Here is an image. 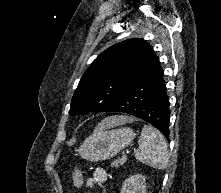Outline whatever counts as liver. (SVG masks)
<instances>
[{"label": "liver", "mask_w": 221, "mask_h": 193, "mask_svg": "<svg viewBox=\"0 0 221 193\" xmlns=\"http://www.w3.org/2000/svg\"><path fill=\"white\" fill-rule=\"evenodd\" d=\"M132 118L129 117H124V116H119V117H110L107 118L105 120H103L98 127L101 129H107V128H111L114 126H118V125H122L126 122L131 121Z\"/></svg>", "instance_id": "obj_1"}]
</instances>
